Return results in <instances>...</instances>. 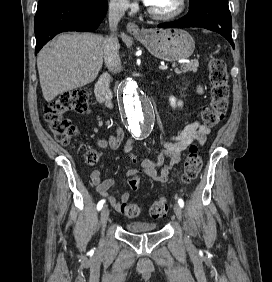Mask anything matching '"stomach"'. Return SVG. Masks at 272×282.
I'll return each instance as SVG.
<instances>
[{"instance_id": "obj_1", "label": "stomach", "mask_w": 272, "mask_h": 282, "mask_svg": "<svg viewBox=\"0 0 272 282\" xmlns=\"http://www.w3.org/2000/svg\"><path fill=\"white\" fill-rule=\"evenodd\" d=\"M135 36L152 55L165 61L186 59L195 49L193 38L182 29H146Z\"/></svg>"}]
</instances>
